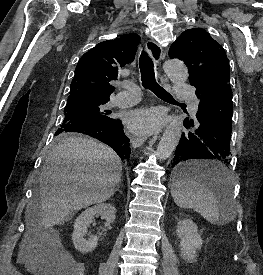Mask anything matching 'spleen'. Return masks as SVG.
Listing matches in <instances>:
<instances>
[{
    "mask_svg": "<svg viewBox=\"0 0 263 275\" xmlns=\"http://www.w3.org/2000/svg\"><path fill=\"white\" fill-rule=\"evenodd\" d=\"M196 165L201 168L216 170L224 175L220 182L222 192L216 196L204 184L193 179H178L171 187V195L177 206L193 209L213 225L222 226L234 218L231 179L228 169L217 163L202 161Z\"/></svg>",
    "mask_w": 263,
    "mask_h": 275,
    "instance_id": "spleen-1",
    "label": "spleen"
}]
</instances>
